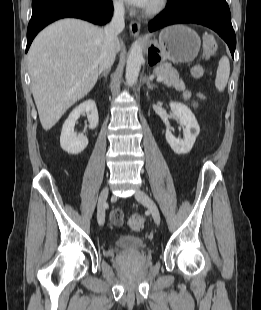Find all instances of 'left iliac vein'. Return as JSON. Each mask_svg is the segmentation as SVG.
Returning <instances> with one entry per match:
<instances>
[{
	"label": "left iliac vein",
	"instance_id": "4c4485c4",
	"mask_svg": "<svg viewBox=\"0 0 261 310\" xmlns=\"http://www.w3.org/2000/svg\"><path fill=\"white\" fill-rule=\"evenodd\" d=\"M135 198L141 202L142 204H144L145 206H147V208L149 209L155 223L157 225L160 224V212H159V209L157 207V205L155 204V202L150 198V196L145 193L144 191L142 190H137L135 192Z\"/></svg>",
	"mask_w": 261,
	"mask_h": 310
}]
</instances>
